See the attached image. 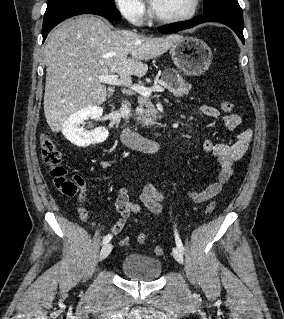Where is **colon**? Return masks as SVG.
Masks as SVG:
<instances>
[{
    "mask_svg": "<svg viewBox=\"0 0 284 319\" xmlns=\"http://www.w3.org/2000/svg\"><path fill=\"white\" fill-rule=\"evenodd\" d=\"M221 108L224 112H231L234 105L231 101L224 100L221 103ZM40 151L43 163L49 168L50 174L53 178L55 187L64 195H74L78 188L82 185V180L78 176L70 177L67 175L66 169L62 165V155L58 150L54 140L46 134L40 136ZM215 201L210 202L206 206V212L211 213L215 209ZM137 241L141 244L145 243L146 235L141 233L137 237ZM129 238H123L120 241L121 246H128ZM156 255H162L164 250L160 246L154 248Z\"/></svg>",
    "mask_w": 284,
    "mask_h": 319,
    "instance_id": "5ec220e1",
    "label": "colon"
}]
</instances>
